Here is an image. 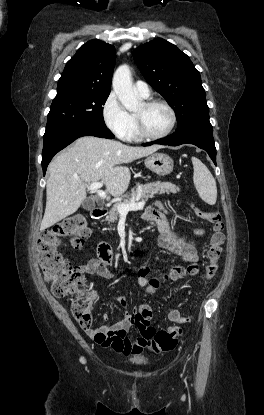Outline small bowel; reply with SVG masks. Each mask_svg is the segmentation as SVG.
Wrapping results in <instances>:
<instances>
[{
    "instance_id": "1",
    "label": "small bowel",
    "mask_w": 264,
    "mask_h": 415,
    "mask_svg": "<svg viewBox=\"0 0 264 415\" xmlns=\"http://www.w3.org/2000/svg\"><path fill=\"white\" fill-rule=\"evenodd\" d=\"M142 219L144 222L153 223L157 226L160 232V247L181 256L190 264L193 268L192 273H194L195 265L198 261L197 247L188 236L181 235L170 228L165 216L164 206L160 202H156L155 206L148 207L144 210ZM194 233L195 235H200L202 230L198 229ZM150 258V256H147L145 260L135 268L138 285L145 291L154 288L153 279L151 277L152 269L149 266ZM83 269L89 274L96 273L100 277L106 279H111L116 276L114 270L109 269L98 260H90L83 266ZM115 298L125 310L123 318L112 325L103 324L96 328L86 329L85 332L94 339L95 344L98 346L113 348L125 355L140 357L145 346V340L138 339L131 341L126 337V333L130 329L139 308L134 307L132 311H129L128 303L122 296L117 295ZM173 313H178V311L172 310L170 312L169 318L171 321H175L172 318ZM103 318H109V314L105 313Z\"/></svg>"
}]
</instances>
